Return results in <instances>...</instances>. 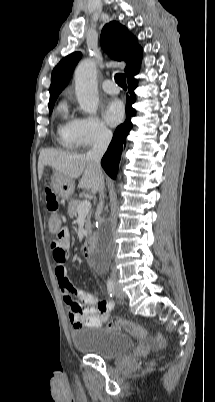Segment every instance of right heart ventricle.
<instances>
[{
	"label": "right heart ventricle",
	"mask_w": 215,
	"mask_h": 402,
	"mask_svg": "<svg viewBox=\"0 0 215 402\" xmlns=\"http://www.w3.org/2000/svg\"><path fill=\"white\" fill-rule=\"evenodd\" d=\"M57 113L59 116L57 125L59 143L66 148H74L77 146L73 135L74 119L70 117L68 106L65 102H61L58 105Z\"/></svg>",
	"instance_id": "1"
}]
</instances>
